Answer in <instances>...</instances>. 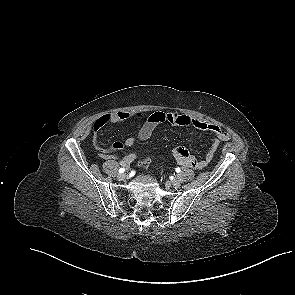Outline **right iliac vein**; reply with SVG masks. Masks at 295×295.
I'll use <instances>...</instances> for the list:
<instances>
[{"label": "right iliac vein", "mask_w": 295, "mask_h": 295, "mask_svg": "<svg viewBox=\"0 0 295 295\" xmlns=\"http://www.w3.org/2000/svg\"><path fill=\"white\" fill-rule=\"evenodd\" d=\"M117 178H118V180L122 181V180H124V179L126 178V174L121 173V174H119V175L117 176Z\"/></svg>", "instance_id": "right-iliac-vein-1"}]
</instances>
